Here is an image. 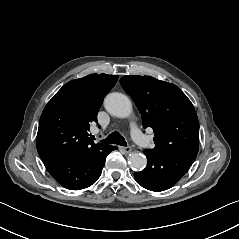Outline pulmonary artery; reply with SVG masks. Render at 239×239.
Returning <instances> with one entry per match:
<instances>
[{
    "instance_id": "obj_1",
    "label": "pulmonary artery",
    "mask_w": 239,
    "mask_h": 239,
    "mask_svg": "<svg viewBox=\"0 0 239 239\" xmlns=\"http://www.w3.org/2000/svg\"><path fill=\"white\" fill-rule=\"evenodd\" d=\"M131 136L136 142H139L143 138V134L136 127H133Z\"/></svg>"
}]
</instances>
